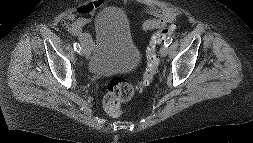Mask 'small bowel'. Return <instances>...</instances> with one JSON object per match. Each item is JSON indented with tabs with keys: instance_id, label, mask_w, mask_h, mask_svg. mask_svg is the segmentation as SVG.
I'll return each instance as SVG.
<instances>
[{
	"instance_id": "c3829d8e",
	"label": "small bowel",
	"mask_w": 253,
	"mask_h": 143,
	"mask_svg": "<svg viewBox=\"0 0 253 143\" xmlns=\"http://www.w3.org/2000/svg\"><path fill=\"white\" fill-rule=\"evenodd\" d=\"M101 5L102 0H94L83 4L70 12L63 22V26L88 49L92 46V39L84 29L91 23L92 15ZM144 12L154 17L143 23L142 29L144 31L165 27L175 22L181 16V12L178 9L168 6H149L144 9ZM150 22H154L155 25L149 27L148 24Z\"/></svg>"
}]
</instances>
